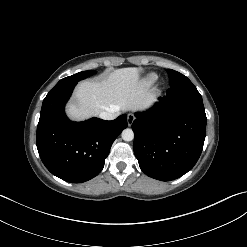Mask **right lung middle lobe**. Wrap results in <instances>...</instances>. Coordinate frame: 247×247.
Here are the masks:
<instances>
[{"mask_svg":"<svg viewBox=\"0 0 247 247\" xmlns=\"http://www.w3.org/2000/svg\"><path fill=\"white\" fill-rule=\"evenodd\" d=\"M95 71H82L77 74H74L72 76H68L66 78L61 79L58 83H67V82H78L82 79H85L86 77L94 74Z\"/></svg>","mask_w":247,"mask_h":247,"instance_id":"obj_1","label":"right lung middle lobe"}]
</instances>
